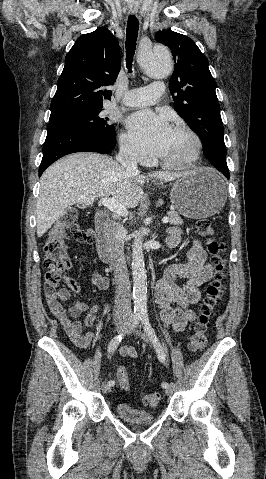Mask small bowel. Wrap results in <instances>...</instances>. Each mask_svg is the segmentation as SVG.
<instances>
[{
	"label": "small bowel",
	"mask_w": 266,
	"mask_h": 479,
	"mask_svg": "<svg viewBox=\"0 0 266 479\" xmlns=\"http://www.w3.org/2000/svg\"><path fill=\"white\" fill-rule=\"evenodd\" d=\"M179 228L170 229L166 244L175 247L180 242ZM213 276V268L207 261V254L199 241H194L188 252L185 263H175L166 268L162 278L155 285V302L160 309V315L165 327H171L174 333L185 330L187 325L196 320L194 306L201 299L200 286ZM178 278L186 279L179 282ZM91 282L98 289H106L109 280L98 269L91 273ZM66 287L60 290L44 289L45 298L50 312L61 323L70 340L79 348L86 349L99 337L93 332H84L85 328L94 325L98 318V307L89 306L85 301H78L69 309L63 307L71 292L78 293L79 285L71 278L65 277ZM84 315L83 320L79 318ZM122 356L137 357L133 347L122 346L118 349Z\"/></svg>",
	"instance_id": "1"
}]
</instances>
